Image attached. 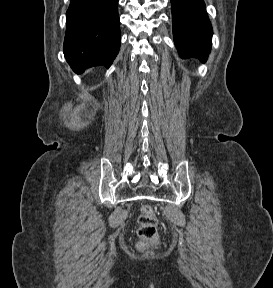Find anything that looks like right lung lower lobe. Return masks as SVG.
Returning <instances> with one entry per match:
<instances>
[{
	"label": "right lung lower lobe",
	"instance_id": "98d812e1",
	"mask_svg": "<svg viewBox=\"0 0 273 288\" xmlns=\"http://www.w3.org/2000/svg\"><path fill=\"white\" fill-rule=\"evenodd\" d=\"M117 6L118 0H71L63 50L76 73L111 66L121 41Z\"/></svg>",
	"mask_w": 273,
	"mask_h": 288
}]
</instances>
